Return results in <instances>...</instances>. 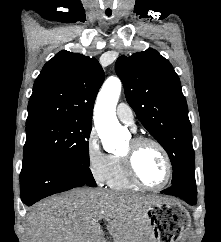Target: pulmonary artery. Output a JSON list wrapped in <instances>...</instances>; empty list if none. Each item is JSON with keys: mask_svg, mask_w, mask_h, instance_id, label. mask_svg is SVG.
I'll list each match as a JSON object with an SVG mask.
<instances>
[{"mask_svg": "<svg viewBox=\"0 0 221 242\" xmlns=\"http://www.w3.org/2000/svg\"><path fill=\"white\" fill-rule=\"evenodd\" d=\"M116 114H117L118 119L122 123L131 126L132 130L135 131L136 128L134 125L133 111L128 104H126L124 102L119 103L116 108Z\"/></svg>", "mask_w": 221, "mask_h": 242, "instance_id": "1", "label": "pulmonary artery"}]
</instances>
